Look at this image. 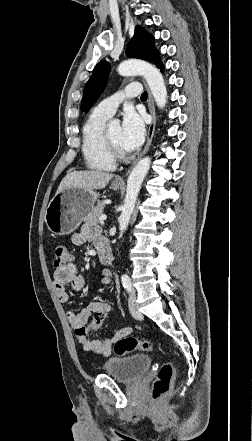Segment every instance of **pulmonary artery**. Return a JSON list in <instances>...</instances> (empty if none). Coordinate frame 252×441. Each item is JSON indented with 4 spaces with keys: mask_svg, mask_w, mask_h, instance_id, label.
Here are the masks:
<instances>
[{
    "mask_svg": "<svg viewBox=\"0 0 252 441\" xmlns=\"http://www.w3.org/2000/svg\"><path fill=\"white\" fill-rule=\"evenodd\" d=\"M142 93V87L138 83L129 84L114 95L106 98L105 100L101 101L95 108V110L103 115H106L108 117H111L116 109L118 108L119 104L124 101L125 99L138 97Z\"/></svg>",
    "mask_w": 252,
    "mask_h": 441,
    "instance_id": "pulmonary-artery-1",
    "label": "pulmonary artery"
}]
</instances>
